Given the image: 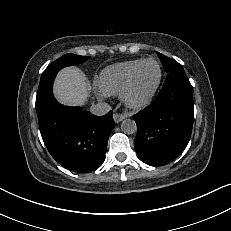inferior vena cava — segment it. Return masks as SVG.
<instances>
[{"label":"inferior vena cava","mask_w":231,"mask_h":231,"mask_svg":"<svg viewBox=\"0 0 231 231\" xmlns=\"http://www.w3.org/2000/svg\"><path fill=\"white\" fill-rule=\"evenodd\" d=\"M111 107L107 103H97L90 107V112L97 116H102L110 111Z\"/></svg>","instance_id":"1"}]
</instances>
